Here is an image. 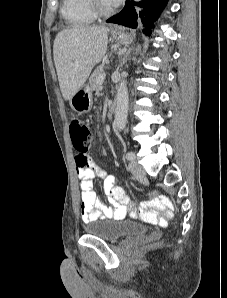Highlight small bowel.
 <instances>
[{
    "label": "small bowel",
    "mask_w": 227,
    "mask_h": 298,
    "mask_svg": "<svg viewBox=\"0 0 227 298\" xmlns=\"http://www.w3.org/2000/svg\"><path fill=\"white\" fill-rule=\"evenodd\" d=\"M76 173L81 189L80 214L84 222L97 219L114 218L124 219L128 215H139L152 222L165 224L166 220L159 216L158 208L147 206L133 210L124 189L118 184L114 175L106 173L93 159L87 155V150H76ZM100 178L103 181L104 193L109 198L111 206L104 205L93 190V180Z\"/></svg>",
    "instance_id": "1"
}]
</instances>
